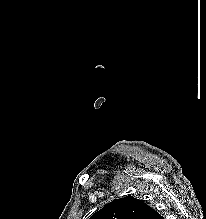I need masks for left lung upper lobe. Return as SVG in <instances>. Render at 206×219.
Returning <instances> with one entry per match:
<instances>
[{"mask_svg":"<svg viewBox=\"0 0 206 219\" xmlns=\"http://www.w3.org/2000/svg\"><path fill=\"white\" fill-rule=\"evenodd\" d=\"M154 209L132 196L115 199L89 219H151Z\"/></svg>","mask_w":206,"mask_h":219,"instance_id":"left-lung-upper-lobe-1","label":"left lung upper lobe"}]
</instances>
